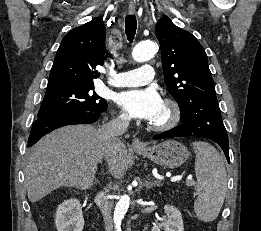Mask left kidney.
I'll return each instance as SVG.
<instances>
[{
    "label": "left kidney",
    "instance_id": "5707ae66",
    "mask_svg": "<svg viewBox=\"0 0 261 231\" xmlns=\"http://www.w3.org/2000/svg\"><path fill=\"white\" fill-rule=\"evenodd\" d=\"M164 212L168 220L153 226L152 231H184L181 212L172 205H166Z\"/></svg>",
    "mask_w": 261,
    "mask_h": 231
}]
</instances>
